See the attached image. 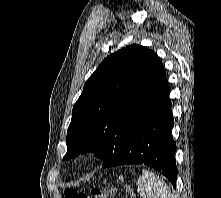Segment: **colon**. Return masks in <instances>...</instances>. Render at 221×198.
Masks as SVG:
<instances>
[{
    "instance_id": "1",
    "label": "colon",
    "mask_w": 221,
    "mask_h": 198,
    "mask_svg": "<svg viewBox=\"0 0 221 198\" xmlns=\"http://www.w3.org/2000/svg\"><path fill=\"white\" fill-rule=\"evenodd\" d=\"M116 190L115 187L94 188L90 194L78 192L74 189L65 191V198H110Z\"/></svg>"
}]
</instances>
